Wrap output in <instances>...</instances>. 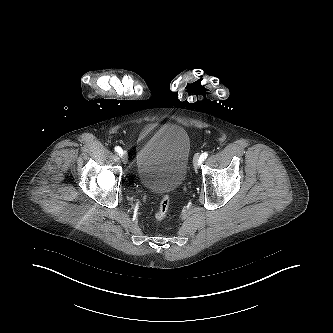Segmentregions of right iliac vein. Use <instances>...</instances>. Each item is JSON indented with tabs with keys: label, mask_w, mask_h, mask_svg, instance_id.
<instances>
[{
	"label": "right iliac vein",
	"mask_w": 333,
	"mask_h": 333,
	"mask_svg": "<svg viewBox=\"0 0 333 333\" xmlns=\"http://www.w3.org/2000/svg\"><path fill=\"white\" fill-rule=\"evenodd\" d=\"M121 158L125 164L128 162V154L126 152L122 153Z\"/></svg>",
	"instance_id": "right-iliac-vein-1"
}]
</instances>
